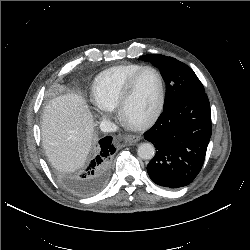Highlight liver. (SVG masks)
Segmentation results:
<instances>
[{
	"label": "liver",
	"instance_id": "1",
	"mask_svg": "<svg viewBox=\"0 0 250 250\" xmlns=\"http://www.w3.org/2000/svg\"><path fill=\"white\" fill-rule=\"evenodd\" d=\"M93 125L92 114L80 94L68 93L49 101L42 118V143L57 170L73 172L84 165Z\"/></svg>",
	"mask_w": 250,
	"mask_h": 250
}]
</instances>
